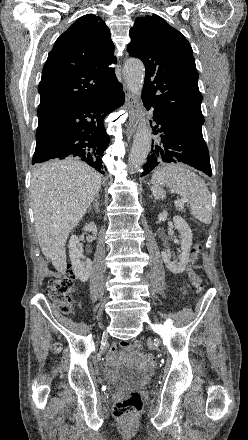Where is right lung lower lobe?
Masks as SVG:
<instances>
[{
  "label": "right lung lower lobe",
  "mask_w": 248,
  "mask_h": 440,
  "mask_svg": "<svg viewBox=\"0 0 248 440\" xmlns=\"http://www.w3.org/2000/svg\"><path fill=\"white\" fill-rule=\"evenodd\" d=\"M122 85L117 81L104 94L75 101L38 118L36 148L32 164L77 157L104 174L102 157L107 148L105 116L124 103Z\"/></svg>",
  "instance_id": "obj_1"
}]
</instances>
